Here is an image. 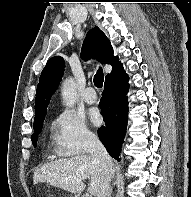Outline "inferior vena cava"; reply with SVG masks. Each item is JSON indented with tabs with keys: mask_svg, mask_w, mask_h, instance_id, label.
I'll use <instances>...</instances> for the list:
<instances>
[{
	"mask_svg": "<svg viewBox=\"0 0 191 197\" xmlns=\"http://www.w3.org/2000/svg\"><path fill=\"white\" fill-rule=\"evenodd\" d=\"M88 149L91 156L97 160L103 168V181L97 197H109L110 182L113 175V161L105 147L95 135L88 137Z\"/></svg>",
	"mask_w": 191,
	"mask_h": 197,
	"instance_id": "1",
	"label": "inferior vena cava"
}]
</instances>
